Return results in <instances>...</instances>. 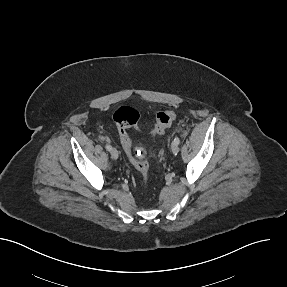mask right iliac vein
Here are the masks:
<instances>
[{"label": "right iliac vein", "instance_id": "right-iliac-vein-1", "mask_svg": "<svg viewBox=\"0 0 287 287\" xmlns=\"http://www.w3.org/2000/svg\"><path fill=\"white\" fill-rule=\"evenodd\" d=\"M110 155H111L112 159H114V160H117L118 156H119L118 151L115 148L111 149Z\"/></svg>", "mask_w": 287, "mask_h": 287}]
</instances>
